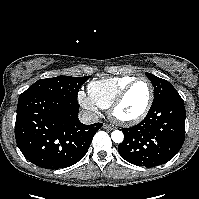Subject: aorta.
<instances>
[{
  "label": "aorta",
  "mask_w": 199,
  "mask_h": 199,
  "mask_svg": "<svg viewBox=\"0 0 199 199\" xmlns=\"http://www.w3.org/2000/svg\"><path fill=\"white\" fill-rule=\"evenodd\" d=\"M111 138L115 143H121L124 139V135L121 131L115 130L111 133Z\"/></svg>",
  "instance_id": "aorta-1"
}]
</instances>
